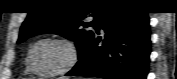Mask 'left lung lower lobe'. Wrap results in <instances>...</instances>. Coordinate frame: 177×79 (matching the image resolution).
<instances>
[{"label":"left lung lower lobe","mask_w":177,"mask_h":79,"mask_svg":"<svg viewBox=\"0 0 177 79\" xmlns=\"http://www.w3.org/2000/svg\"><path fill=\"white\" fill-rule=\"evenodd\" d=\"M78 63L66 76H94L105 79H146L150 55L149 17L131 6L106 7Z\"/></svg>","instance_id":"1"}]
</instances>
